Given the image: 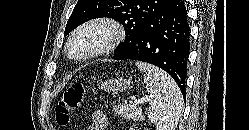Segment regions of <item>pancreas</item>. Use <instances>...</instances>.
Returning a JSON list of instances; mask_svg holds the SVG:
<instances>
[{"label": "pancreas", "instance_id": "cf45deb5", "mask_svg": "<svg viewBox=\"0 0 249 130\" xmlns=\"http://www.w3.org/2000/svg\"><path fill=\"white\" fill-rule=\"evenodd\" d=\"M116 115L122 117L124 120L142 121L144 116L142 109L132 103H123L113 108Z\"/></svg>", "mask_w": 249, "mask_h": 130}]
</instances>
